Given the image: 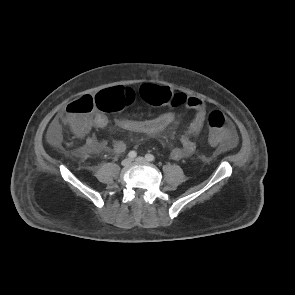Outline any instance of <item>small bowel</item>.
<instances>
[{
	"label": "small bowel",
	"instance_id": "1",
	"mask_svg": "<svg viewBox=\"0 0 295 295\" xmlns=\"http://www.w3.org/2000/svg\"><path fill=\"white\" fill-rule=\"evenodd\" d=\"M185 106L188 110L194 112V117L181 138V146L174 147L170 152V156L173 160L190 157L195 152L197 147L195 138L203 129L206 119V107L201 99L197 97H188ZM176 117V112L168 111L151 120L137 121L119 118L116 120V125L118 128L125 131L149 136H160L164 130L175 121ZM108 124L109 120L105 114L95 112L83 119L79 127L73 129L77 136L86 138L85 151L87 153L112 151L115 154H120L126 150V145L123 141L115 140L109 147L103 141L89 135L92 128L105 129ZM61 137L60 123L58 120H54L47 132L48 141L51 145L58 146L61 142ZM233 143L234 138L230 144L232 145Z\"/></svg>",
	"mask_w": 295,
	"mask_h": 295
}]
</instances>
